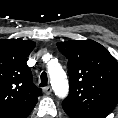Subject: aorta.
I'll return each instance as SVG.
<instances>
[{
	"mask_svg": "<svg viewBox=\"0 0 118 118\" xmlns=\"http://www.w3.org/2000/svg\"><path fill=\"white\" fill-rule=\"evenodd\" d=\"M53 90L59 98L67 96L69 91L68 80L62 66L58 62H51L47 67Z\"/></svg>",
	"mask_w": 118,
	"mask_h": 118,
	"instance_id": "1",
	"label": "aorta"
}]
</instances>
